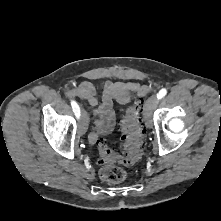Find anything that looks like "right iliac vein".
<instances>
[{
  "mask_svg": "<svg viewBox=\"0 0 221 221\" xmlns=\"http://www.w3.org/2000/svg\"><path fill=\"white\" fill-rule=\"evenodd\" d=\"M88 128V115L85 110H82L81 119L78 127V133L83 135L86 133Z\"/></svg>",
  "mask_w": 221,
  "mask_h": 221,
  "instance_id": "1",
  "label": "right iliac vein"
}]
</instances>
